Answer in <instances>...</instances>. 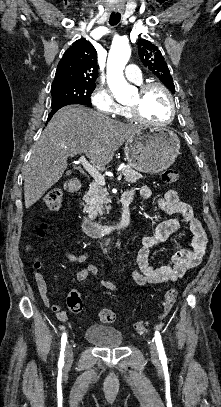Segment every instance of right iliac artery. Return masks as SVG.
<instances>
[{
    "label": "right iliac artery",
    "mask_w": 221,
    "mask_h": 407,
    "mask_svg": "<svg viewBox=\"0 0 221 407\" xmlns=\"http://www.w3.org/2000/svg\"><path fill=\"white\" fill-rule=\"evenodd\" d=\"M67 342V335L66 333H63L61 337V351H60V358L58 361V366L63 367L64 366V351H65V345Z\"/></svg>",
    "instance_id": "obj_1"
}]
</instances>
